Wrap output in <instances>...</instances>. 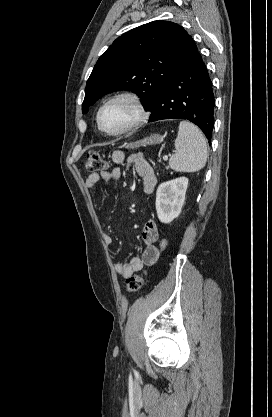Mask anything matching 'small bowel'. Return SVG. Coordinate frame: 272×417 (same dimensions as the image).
<instances>
[{"label":"small bowel","mask_w":272,"mask_h":417,"mask_svg":"<svg viewBox=\"0 0 272 417\" xmlns=\"http://www.w3.org/2000/svg\"><path fill=\"white\" fill-rule=\"evenodd\" d=\"M112 160L115 164L122 165L125 162L133 163L138 176L142 180L143 190L149 195L152 194L157 184V178L150 164L142 154H135L129 158L122 151H114L112 153ZM121 177V170L119 168H113L109 171L99 173H91L86 179V187L93 189L100 181H116ZM158 225L153 219L149 220L142 231V238L147 245L146 250L142 256H133L127 262L114 263L115 272L122 278L127 279L135 273L141 271L144 266L152 265L158 255L159 251L156 249V242L158 240ZM104 243L107 246L113 244V238L111 235L103 234Z\"/></svg>","instance_id":"obj_1"}]
</instances>
